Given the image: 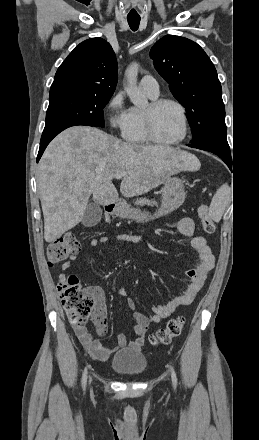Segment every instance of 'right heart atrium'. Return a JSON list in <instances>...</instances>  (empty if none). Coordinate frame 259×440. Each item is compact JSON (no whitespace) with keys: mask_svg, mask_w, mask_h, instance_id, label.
<instances>
[{"mask_svg":"<svg viewBox=\"0 0 259 440\" xmlns=\"http://www.w3.org/2000/svg\"><path fill=\"white\" fill-rule=\"evenodd\" d=\"M106 112L111 129L123 135L130 124V109L125 106L123 92H117L110 98Z\"/></svg>","mask_w":259,"mask_h":440,"instance_id":"obj_1","label":"right heart atrium"}]
</instances>
